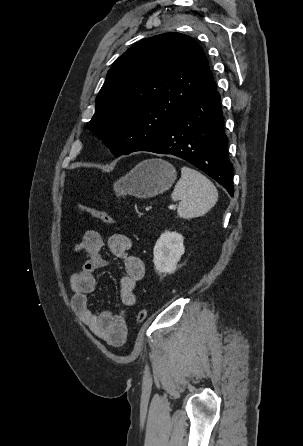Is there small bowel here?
I'll return each mask as SVG.
<instances>
[{"mask_svg": "<svg viewBox=\"0 0 303 446\" xmlns=\"http://www.w3.org/2000/svg\"><path fill=\"white\" fill-rule=\"evenodd\" d=\"M104 244L99 232L87 230L74 246V253L83 256L85 260L70 276V287L73 291L72 306L96 337L110 346L121 347L126 343L128 335L124 313L116 315L108 310L96 312L91 308L89 300L98 285L95 271L111 263L103 253ZM107 246L114 257L123 260L124 274L120 280V300L124 307H131L136 303V286L145 276V264L142 259L130 254L132 243L124 234L111 235Z\"/></svg>", "mask_w": 303, "mask_h": 446, "instance_id": "1", "label": "small bowel"}]
</instances>
